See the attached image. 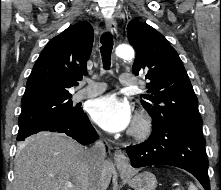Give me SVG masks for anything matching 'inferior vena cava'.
Instances as JSON below:
<instances>
[{
    "label": "inferior vena cava",
    "mask_w": 221,
    "mask_h": 190,
    "mask_svg": "<svg viewBox=\"0 0 221 190\" xmlns=\"http://www.w3.org/2000/svg\"><path fill=\"white\" fill-rule=\"evenodd\" d=\"M87 157L91 167L96 172H101L105 164L106 150L102 141H97L90 149L87 150ZM89 190H101L99 182L92 183Z\"/></svg>",
    "instance_id": "602c4592"
}]
</instances>
